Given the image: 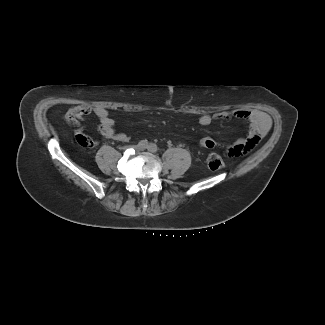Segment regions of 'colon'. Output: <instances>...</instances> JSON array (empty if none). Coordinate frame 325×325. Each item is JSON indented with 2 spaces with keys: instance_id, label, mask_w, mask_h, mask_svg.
<instances>
[{
  "instance_id": "colon-1",
  "label": "colon",
  "mask_w": 325,
  "mask_h": 325,
  "mask_svg": "<svg viewBox=\"0 0 325 325\" xmlns=\"http://www.w3.org/2000/svg\"><path fill=\"white\" fill-rule=\"evenodd\" d=\"M207 164L212 171H218L224 167V161L217 153H210L208 155Z\"/></svg>"
}]
</instances>
